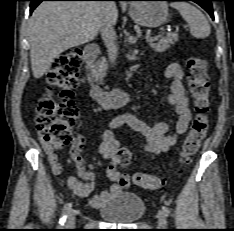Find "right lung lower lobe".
Listing matches in <instances>:
<instances>
[{
    "instance_id": "98d812e1",
    "label": "right lung lower lobe",
    "mask_w": 234,
    "mask_h": 231,
    "mask_svg": "<svg viewBox=\"0 0 234 231\" xmlns=\"http://www.w3.org/2000/svg\"><path fill=\"white\" fill-rule=\"evenodd\" d=\"M31 1L30 5V14L33 10L42 2V1H86V0H29ZM96 1V0H95ZM117 1V0H114Z\"/></svg>"
}]
</instances>
